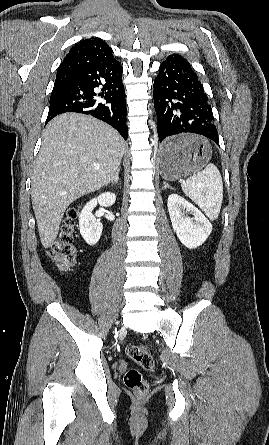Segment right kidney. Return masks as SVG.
I'll use <instances>...</instances> for the list:
<instances>
[{"label":"right kidney","instance_id":"1","mask_svg":"<svg viewBox=\"0 0 269 445\" xmlns=\"http://www.w3.org/2000/svg\"><path fill=\"white\" fill-rule=\"evenodd\" d=\"M116 196L113 193L104 192L97 198L91 199L83 208L79 215L80 234L86 243L90 246L95 245L102 234V223L96 219L92 211L100 204L101 206H112L115 203Z\"/></svg>","mask_w":269,"mask_h":445}]
</instances>
